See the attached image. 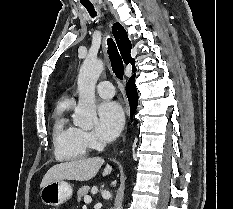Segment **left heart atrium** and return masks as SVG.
Segmentation results:
<instances>
[{
  "label": "left heart atrium",
  "mask_w": 233,
  "mask_h": 209,
  "mask_svg": "<svg viewBox=\"0 0 233 209\" xmlns=\"http://www.w3.org/2000/svg\"><path fill=\"white\" fill-rule=\"evenodd\" d=\"M124 124V113L115 101H104L98 106L96 132L105 141L113 140Z\"/></svg>",
  "instance_id": "left-heart-atrium-1"
}]
</instances>
